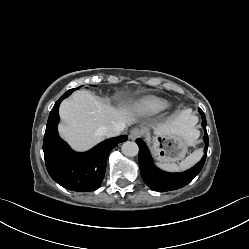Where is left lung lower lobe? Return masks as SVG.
Segmentation results:
<instances>
[{
  "label": "left lung lower lobe",
  "instance_id": "left-lung-lower-lobe-1",
  "mask_svg": "<svg viewBox=\"0 0 249 249\" xmlns=\"http://www.w3.org/2000/svg\"><path fill=\"white\" fill-rule=\"evenodd\" d=\"M200 114L202 115V126L205 129L204 134V156L202 159L191 169L182 172V173H167L156 168L152 162V158L146 145L141 139H137L136 142L139 146V167L143 181L153 190L159 192H166L171 190H176L184 187L190 183L195 176L201 171L205 159L207 156L208 148V135L206 132V118L201 109H199Z\"/></svg>",
  "mask_w": 249,
  "mask_h": 249
}]
</instances>
